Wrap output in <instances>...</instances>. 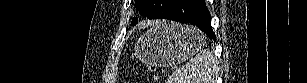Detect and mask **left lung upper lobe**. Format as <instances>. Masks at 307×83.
Returning <instances> with one entry per match:
<instances>
[{
	"instance_id": "left-lung-upper-lobe-1",
	"label": "left lung upper lobe",
	"mask_w": 307,
	"mask_h": 83,
	"mask_svg": "<svg viewBox=\"0 0 307 83\" xmlns=\"http://www.w3.org/2000/svg\"><path fill=\"white\" fill-rule=\"evenodd\" d=\"M175 0H135L136 6L142 16L150 18H164L169 7ZM137 23L136 18L133 19L132 25Z\"/></svg>"
}]
</instances>
